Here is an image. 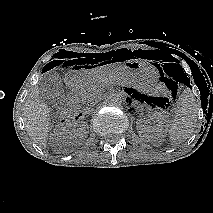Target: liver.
I'll use <instances>...</instances> for the list:
<instances>
[{"instance_id": "liver-1", "label": "liver", "mask_w": 213, "mask_h": 213, "mask_svg": "<svg viewBox=\"0 0 213 213\" xmlns=\"http://www.w3.org/2000/svg\"><path fill=\"white\" fill-rule=\"evenodd\" d=\"M115 67H104L93 70L95 77H103L114 72ZM50 108L41 100L40 91L35 86L25 100L23 118L29 137L41 148H46L49 132Z\"/></svg>"}]
</instances>
